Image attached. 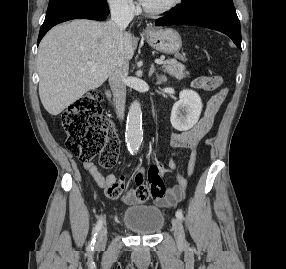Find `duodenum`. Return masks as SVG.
<instances>
[{
    "label": "duodenum",
    "instance_id": "duodenum-1",
    "mask_svg": "<svg viewBox=\"0 0 286 269\" xmlns=\"http://www.w3.org/2000/svg\"><path fill=\"white\" fill-rule=\"evenodd\" d=\"M106 96H107V99L109 100V102L112 105L116 106V103L113 101L111 91L108 88L106 89Z\"/></svg>",
    "mask_w": 286,
    "mask_h": 269
}]
</instances>
